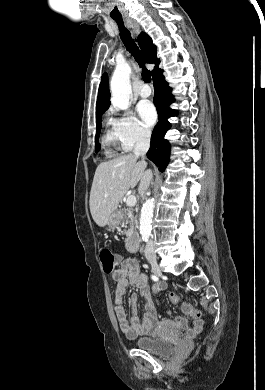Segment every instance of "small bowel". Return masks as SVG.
I'll return each mask as SVG.
<instances>
[{"label": "small bowel", "instance_id": "obj_1", "mask_svg": "<svg viewBox=\"0 0 265 390\" xmlns=\"http://www.w3.org/2000/svg\"><path fill=\"white\" fill-rule=\"evenodd\" d=\"M119 267L113 271L112 278L116 281V306L115 316L120 330L128 337L134 338L140 335H157L159 321L155 307L150 303L151 291L147 283V276L141 272L139 261L135 258H123L116 256ZM132 285L139 292L132 293L130 297L131 317L128 318L123 307V296L127 288ZM166 289L165 283H158L154 286V291H163ZM140 298H144L146 304L143 309L142 317L140 318L137 311V303ZM176 324L181 329L187 328V322L183 318H177ZM203 321L200 318L193 320L188 334L195 336L201 332Z\"/></svg>", "mask_w": 265, "mask_h": 390}]
</instances>
